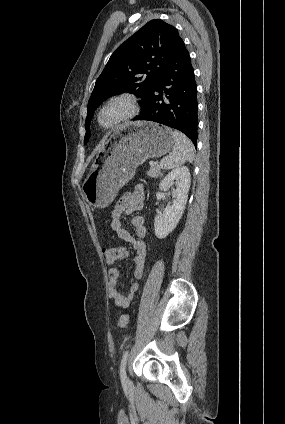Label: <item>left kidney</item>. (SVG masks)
Returning a JSON list of instances; mask_svg holds the SVG:
<instances>
[{
	"label": "left kidney",
	"mask_w": 285,
	"mask_h": 424,
	"mask_svg": "<svg viewBox=\"0 0 285 424\" xmlns=\"http://www.w3.org/2000/svg\"><path fill=\"white\" fill-rule=\"evenodd\" d=\"M175 182L176 189L171 194L174 198L171 204H168L162 215H157L154 221L155 235L159 239L168 236L177 226L187 203L188 191L190 188V172L188 167L181 166L169 172L160 181V191L169 190L172 183Z\"/></svg>",
	"instance_id": "left-kidney-1"
}]
</instances>
